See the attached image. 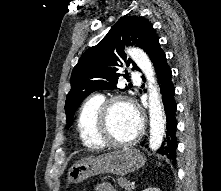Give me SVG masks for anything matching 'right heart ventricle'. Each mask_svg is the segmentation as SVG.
Wrapping results in <instances>:
<instances>
[{
	"mask_svg": "<svg viewBox=\"0 0 221 191\" xmlns=\"http://www.w3.org/2000/svg\"><path fill=\"white\" fill-rule=\"evenodd\" d=\"M104 98L93 95L84 101L77 117V130L82 144L89 149L104 147L97 134L98 111Z\"/></svg>",
	"mask_w": 221,
	"mask_h": 191,
	"instance_id": "right-heart-ventricle-1",
	"label": "right heart ventricle"
}]
</instances>
